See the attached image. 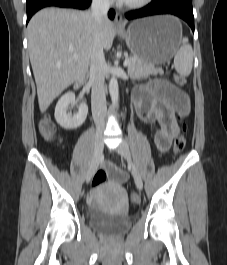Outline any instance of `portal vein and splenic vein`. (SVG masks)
<instances>
[{
	"label": "portal vein and splenic vein",
	"mask_w": 227,
	"mask_h": 265,
	"mask_svg": "<svg viewBox=\"0 0 227 265\" xmlns=\"http://www.w3.org/2000/svg\"><path fill=\"white\" fill-rule=\"evenodd\" d=\"M74 57H77V56L74 55ZM129 64H130L129 59H126V60L124 61V66H129Z\"/></svg>",
	"instance_id": "18ae733b"
}]
</instances>
